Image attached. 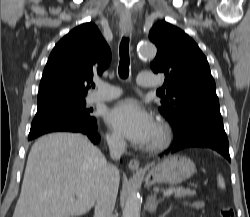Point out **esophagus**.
Here are the masks:
<instances>
[{"mask_svg":"<svg viewBox=\"0 0 250 217\" xmlns=\"http://www.w3.org/2000/svg\"><path fill=\"white\" fill-rule=\"evenodd\" d=\"M132 22L130 18H122L120 21V29L123 34H127L131 31ZM128 167L130 170L135 172H141L139 161L135 158L131 159L128 163Z\"/></svg>","mask_w":250,"mask_h":217,"instance_id":"esophagus-1","label":"esophagus"}]
</instances>
